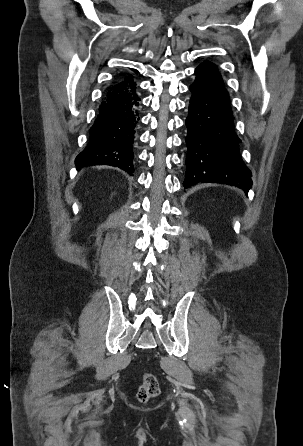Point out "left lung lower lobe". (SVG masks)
Segmentation results:
<instances>
[{"label": "left lung lower lobe", "mask_w": 303, "mask_h": 446, "mask_svg": "<svg viewBox=\"0 0 303 446\" xmlns=\"http://www.w3.org/2000/svg\"><path fill=\"white\" fill-rule=\"evenodd\" d=\"M196 79L190 85L192 98L185 121L186 175L184 187L198 182L236 186L248 192L252 186L251 171L243 162L234 131L228 92L218 68L210 61L195 69Z\"/></svg>", "instance_id": "0a47b994"}]
</instances>
